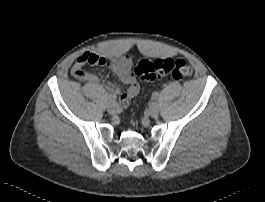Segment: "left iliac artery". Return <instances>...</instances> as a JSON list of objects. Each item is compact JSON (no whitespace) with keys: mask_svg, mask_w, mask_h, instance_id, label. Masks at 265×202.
<instances>
[{"mask_svg":"<svg viewBox=\"0 0 265 202\" xmlns=\"http://www.w3.org/2000/svg\"><path fill=\"white\" fill-rule=\"evenodd\" d=\"M152 98H153V99H158V94H157V93H153V94H152Z\"/></svg>","mask_w":265,"mask_h":202,"instance_id":"left-iliac-artery-1","label":"left iliac artery"}]
</instances>
